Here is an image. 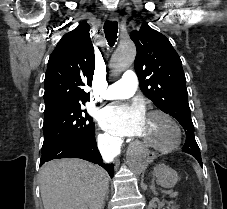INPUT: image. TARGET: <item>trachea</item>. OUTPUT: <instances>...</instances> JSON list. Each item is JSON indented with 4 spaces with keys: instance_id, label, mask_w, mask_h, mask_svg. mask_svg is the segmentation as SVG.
<instances>
[{
    "instance_id": "trachea-1",
    "label": "trachea",
    "mask_w": 227,
    "mask_h": 209,
    "mask_svg": "<svg viewBox=\"0 0 227 209\" xmlns=\"http://www.w3.org/2000/svg\"><path fill=\"white\" fill-rule=\"evenodd\" d=\"M104 33L109 45L113 46L117 40L118 22L106 20L104 23Z\"/></svg>"
}]
</instances>
